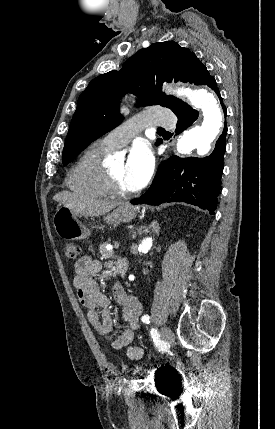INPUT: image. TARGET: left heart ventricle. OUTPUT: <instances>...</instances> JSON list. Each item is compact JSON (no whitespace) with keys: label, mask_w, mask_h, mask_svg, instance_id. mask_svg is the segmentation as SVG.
Wrapping results in <instances>:
<instances>
[{"label":"left heart ventricle","mask_w":275,"mask_h":429,"mask_svg":"<svg viewBox=\"0 0 275 429\" xmlns=\"http://www.w3.org/2000/svg\"><path fill=\"white\" fill-rule=\"evenodd\" d=\"M109 169L111 170V172L115 176V178L118 180L120 186L123 189L130 191V189L127 187V185L125 183V162L120 161V162L112 165Z\"/></svg>","instance_id":"1"}]
</instances>
